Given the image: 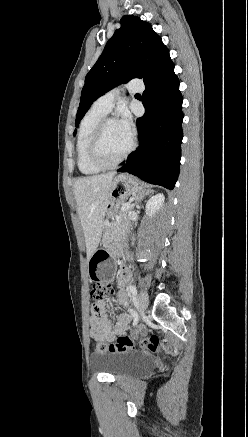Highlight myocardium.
Returning <instances> with one entry per match:
<instances>
[{
	"label": "myocardium",
	"instance_id": "f54148a6",
	"mask_svg": "<svg viewBox=\"0 0 248 437\" xmlns=\"http://www.w3.org/2000/svg\"><path fill=\"white\" fill-rule=\"evenodd\" d=\"M116 122L113 117H104L97 124L89 143V157L91 162L100 169H111L124 161L135 148V141L132 138L127 149L114 161L107 162L103 159L100 153V146L104 130L108 123Z\"/></svg>",
	"mask_w": 248,
	"mask_h": 437
}]
</instances>
